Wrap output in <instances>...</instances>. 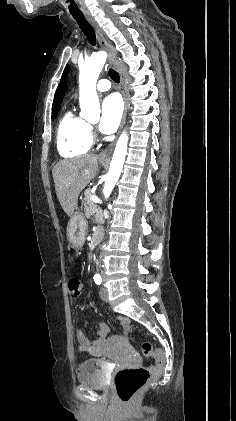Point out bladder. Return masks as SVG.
Wrapping results in <instances>:
<instances>
[{"instance_id":"bladder-1","label":"bladder","mask_w":236,"mask_h":421,"mask_svg":"<svg viewBox=\"0 0 236 421\" xmlns=\"http://www.w3.org/2000/svg\"><path fill=\"white\" fill-rule=\"evenodd\" d=\"M77 383L90 390H103L107 386L105 372L101 370L100 360L88 358L81 362L76 371Z\"/></svg>"}]
</instances>
